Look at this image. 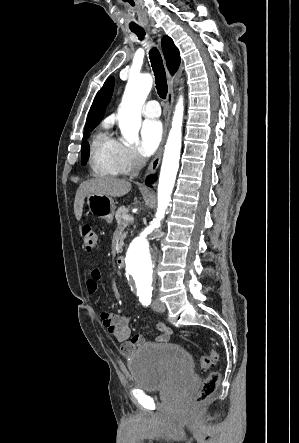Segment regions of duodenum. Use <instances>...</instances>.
I'll return each instance as SVG.
<instances>
[{
    "mask_svg": "<svg viewBox=\"0 0 299 443\" xmlns=\"http://www.w3.org/2000/svg\"><path fill=\"white\" fill-rule=\"evenodd\" d=\"M116 265L119 268H122L124 266V258L122 256L117 257L116 259Z\"/></svg>",
    "mask_w": 299,
    "mask_h": 443,
    "instance_id": "410a0bca",
    "label": "duodenum"
}]
</instances>
